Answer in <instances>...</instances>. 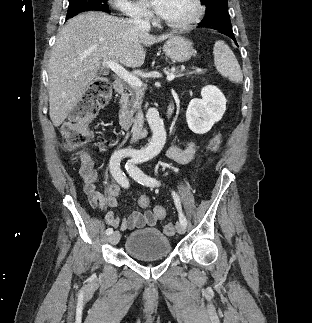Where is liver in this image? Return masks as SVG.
<instances>
[{"instance_id": "obj_1", "label": "liver", "mask_w": 312, "mask_h": 323, "mask_svg": "<svg viewBox=\"0 0 312 323\" xmlns=\"http://www.w3.org/2000/svg\"><path fill=\"white\" fill-rule=\"evenodd\" d=\"M172 34L151 36L126 20L104 12H83L58 30L49 64V116L61 126L80 102L86 86L98 78L101 62L140 68L145 48Z\"/></svg>"}]
</instances>
